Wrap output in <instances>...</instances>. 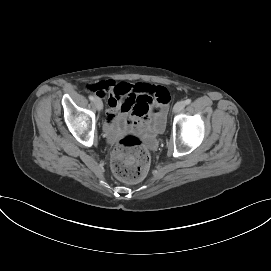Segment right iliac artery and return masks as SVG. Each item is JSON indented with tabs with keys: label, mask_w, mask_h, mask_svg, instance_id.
I'll return each mask as SVG.
<instances>
[{
	"label": "right iliac artery",
	"mask_w": 271,
	"mask_h": 271,
	"mask_svg": "<svg viewBox=\"0 0 271 271\" xmlns=\"http://www.w3.org/2000/svg\"><path fill=\"white\" fill-rule=\"evenodd\" d=\"M89 99H90L91 101H94V96L90 95V96H89Z\"/></svg>",
	"instance_id": "82829eb1"
}]
</instances>
